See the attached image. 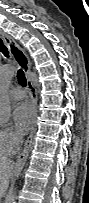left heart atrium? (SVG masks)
<instances>
[{
    "mask_svg": "<svg viewBox=\"0 0 89 203\" xmlns=\"http://www.w3.org/2000/svg\"><path fill=\"white\" fill-rule=\"evenodd\" d=\"M13 119L20 134H26L34 122V109L28 102L21 103L13 113Z\"/></svg>",
    "mask_w": 89,
    "mask_h": 203,
    "instance_id": "1",
    "label": "left heart atrium"
}]
</instances>
